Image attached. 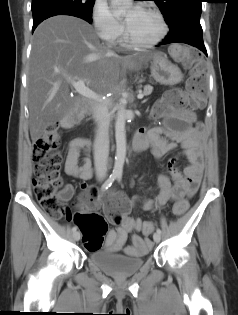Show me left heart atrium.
I'll use <instances>...</instances> for the list:
<instances>
[{"label":"left heart atrium","instance_id":"obj_1","mask_svg":"<svg viewBox=\"0 0 238 315\" xmlns=\"http://www.w3.org/2000/svg\"><path fill=\"white\" fill-rule=\"evenodd\" d=\"M136 10H138V9H137V8H133L131 11H132V12H135Z\"/></svg>","mask_w":238,"mask_h":315}]
</instances>
